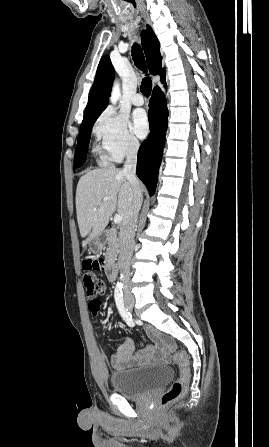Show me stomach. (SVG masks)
Returning <instances> with one entry per match:
<instances>
[{"mask_svg":"<svg viewBox=\"0 0 269 447\" xmlns=\"http://www.w3.org/2000/svg\"><path fill=\"white\" fill-rule=\"evenodd\" d=\"M106 245V237H103V235H97V237H94V239H91L89 243V249L90 251H93V253H99V251H102Z\"/></svg>","mask_w":269,"mask_h":447,"instance_id":"stomach-1","label":"stomach"}]
</instances>
